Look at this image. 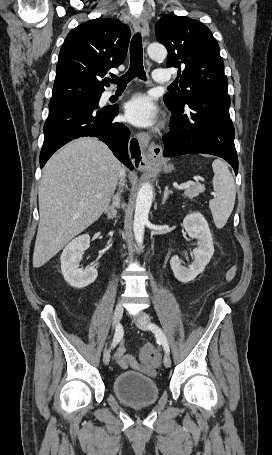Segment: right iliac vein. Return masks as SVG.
<instances>
[{"mask_svg": "<svg viewBox=\"0 0 272 455\" xmlns=\"http://www.w3.org/2000/svg\"><path fill=\"white\" fill-rule=\"evenodd\" d=\"M122 316H123V306L121 303H118L114 310L113 327H116L119 324ZM109 362H110V350H109V348H107L103 354V363L105 365H108Z\"/></svg>", "mask_w": 272, "mask_h": 455, "instance_id": "obj_1", "label": "right iliac vein"}]
</instances>
